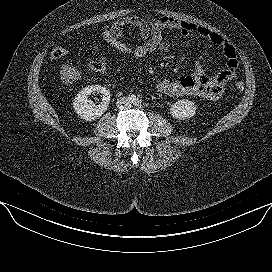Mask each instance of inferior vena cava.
Masks as SVG:
<instances>
[{
    "label": "inferior vena cava",
    "instance_id": "1",
    "mask_svg": "<svg viewBox=\"0 0 272 272\" xmlns=\"http://www.w3.org/2000/svg\"><path fill=\"white\" fill-rule=\"evenodd\" d=\"M116 105L119 109L122 110H127L131 108V102L127 97H120L117 100Z\"/></svg>",
    "mask_w": 272,
    "mask_h": 272
}]
</instances>
